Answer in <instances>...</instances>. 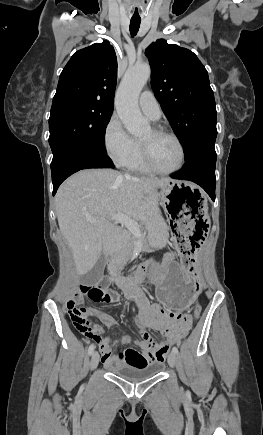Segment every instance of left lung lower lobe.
<instances>
[{"instance_id": "obj_1", "label": "left lung lower lobe", "mask_w": 263, "mask_h": 435, "mask_svg": "<svg viewBox=\"0 0 263 435\" xmlns=\"http://www.w3.org/2000/svg\"><path fill=\"white\" fill-rule=\"evenodd\" d=\"M216 152L214 143L202 145L185 158V165L174 179L189 180L200 185L215 200Z\"/></svg>"}]
</instances>
